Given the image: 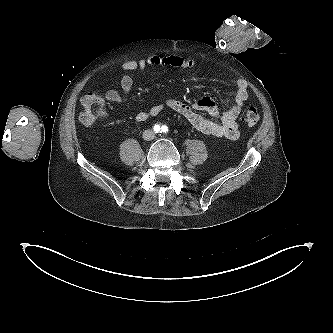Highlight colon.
I'll use <instances>...</instances> for the list:
<instances>
[{"instance_id":"obj_1","label":"colon","mask_w":333,"mask_h":333,"mask_svg":"<svg viewBox=\"0 0 333 333\" xmlns=\"http://www.w3.org/2000/svg\"><path fill=\"white\" fill-rule=\"evenodd\" d=\"M104 110V98L97 90H93L86 94L82 100V110L79 114V121L84 125H89L102 116ZM242 120L249 126L258 124L260 121V114L257 108L254 106L248 107Z\"/></svg>"}]
</instances>
